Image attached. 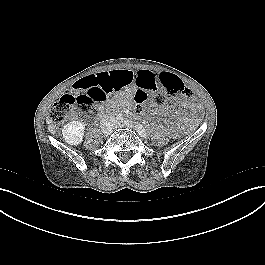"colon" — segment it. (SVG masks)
Here are the masks:
<instances>
[{
	"mask_svg": "<svg viewBox=\"0 0 265 265\" xmlns=\"http://www.w3.org/2000/svg\"><path fill=\"white\" fill-rule=\"evenodd\" d=\"M158 81L163 91H155L151 95L148 93V89L136 91L134 98L137 114H142L149 102L157 107H162L167 98L184 99L183 107L187 112L193 113L199 109V100L191 96L176 75L165 71L159 75ZM118 90L115 83L104 76L84 77L74 83L71 93L63 95L52 106L49 119L53 124H60L76 112L82 116L93 115L97 111V105L103 102L109 93Z\"/></svg>",
	"mask_w": 265,
	"mask_h": 265,
	"instance_id": "obj_1",
	"label": "colon"
}]
</instances>
